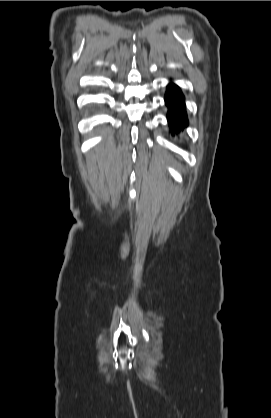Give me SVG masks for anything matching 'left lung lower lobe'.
Segmentation results:
<instances>
[{
	"mask_svg": "<svg viewBox=\"0 0 271 418\" xmlns=\"http://www.w3.org/2000/svg\"><path fill=\"white\" fill-rule=\"evenodd\" d=\"M165 102L169 109L167 114L168 123L172 134H175L188 126L184 96L178 86L174 84L168 85Z\"/></svg>",
	"mask_w": 271,
	"mask_h": 418,
	"instance_id": "0a47b994",
	"label": "left lung lower lobe"
}]
</instances>
